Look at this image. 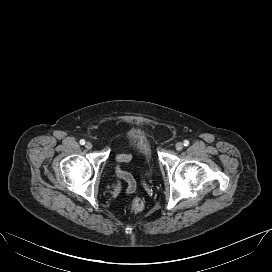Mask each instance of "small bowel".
Segmentation results:
<instances>
[{
  "label": "small bowel",
  "instance_id": "1",
  "mask_svg": "<svg viewBox=\"0 0 272 272\" xmlns=\"http://www.w3.org/2000/svg\"><path fill=\"white\" fill-rule=\"evenodd\" d=\"M116 159L119 163H126L132 159V155L130 153L119 154L116 156ZM115 173L119 178L126 181V183L128 185L127 192L128 193L132 192V190L134 189V186H135V182H134V179L132 178V176L129 173L122 170V168L119 165L116 166Z\"/></svg>",
  "mask_w": 272,
  "mask_h": 272
}]
</instances>
